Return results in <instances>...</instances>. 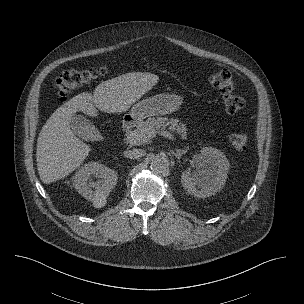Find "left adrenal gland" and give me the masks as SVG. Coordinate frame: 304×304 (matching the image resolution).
I'll return each mask as SVG.
<instances>
[{
	"label": "left adrenal gland",
	"mask_w": 304,
	"mask_h": 304,
	"mask_svg": "<svg viewBox=\"0 0 304 304\" xmlns=\"http://www.w3.org/2000/svg\"><path fill=\"white\" fill-rule=\"evenodd\" d=\"M188 149H189V147H187V148L184 149V150L176 149V152H174L173 154H174V156H175L178 160H180L181 157H182V155L185 154V153L187 152Z\"/></svg>",
	"instance_id": "left-adrenal-gland-1"
}]
</instances>
